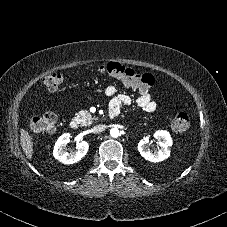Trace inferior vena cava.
<instances>
[{
	"mask_svg": "<svg viewBox=\"0 0 227 227\" xmlns=\"http://www.w3.org/2000/svg\"><path fill=\"white\" fill-rule=\"evenodd\" d=\"M105 129H106V126L103 125V124H100V125L94 126L93 129H92V131H93L94 133H99V132L104 131Z\"/></svg>",
	"mask_w": 227,
	"mask_h": 227,
	"instance_id": "obj_1",
	"label": "inferior vena cava"
}]
</instances>
